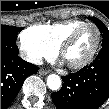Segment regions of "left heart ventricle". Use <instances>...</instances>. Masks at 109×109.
<instances>
[{"label": "left heart ventricle", "mask_w": 109, "mask_h": 109, "mask_svg": "<svg viewBox=\"0 0 109 109\" xmlns=\"http://www.w3.org/2000/svg\"><path fill=\"white\" fill-rule=\"evenodd\" d=\"M97 40L94 27L85 28L77 37L75 43L65 52L64 59L67 63H78L84 60L92 51Z\"/></svg>", "instance_id": "b2bd125f"}]
</instances>
